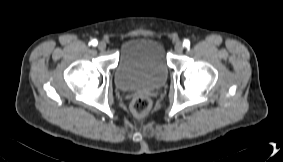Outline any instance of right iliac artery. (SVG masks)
<instances>
[{
    "label": "right iliac artery",
    "mask_w": 283,
    "mask_h": 162,
    "mask_svg": "<svg viewBox=\"0 0 283 162\" xmlns=\"http://www.w3.org/2000/svg\"><path fill=\"white\" fill-rule=\"evenodd\" d=\"M90 44H91L92 46H96V45L98 44V41H97L96 39H93V40L90 42Z\"/></svg>",
    "instance_id": "1"
}]
</instances>
